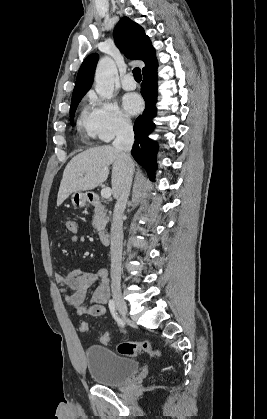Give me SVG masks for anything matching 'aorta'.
Instances as JSON below:
<instances>
[{
    "instance_id": "obj_1",
    "label": "aorta",
    "mask_w": 267,
    "mask_h": 419,
    "mask_svg": "<svg viewBox=\"0 0 267 419\" xmlns=\"http://www.w3.org/2000/svg\"><path fill=\"white\" fill-rule=\"evenodd\" d=\"M116 73V65L110 57L105 56L99 60L95 72V90L101 98H112Z\"/></svg>"
}]
</instances>
